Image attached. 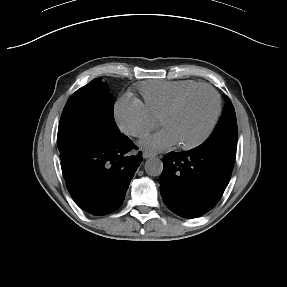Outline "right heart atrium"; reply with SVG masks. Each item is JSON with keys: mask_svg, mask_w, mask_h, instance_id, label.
<instances>
[{"mask_svg": "<svg viewBox=\"0 0 287 287\" xmlns=\"http://www.w3.org/2000/svg\"><path fill=\"white\" fill-rule=\"evenodd\" d=\"M114 114L120 128L133 137L146 136L158 124L146 105L131 95H124L118 99Z\"/></svg>", "mask_w": 287, "mask_h": 287, "instance_id": "obj_1", "label": "right heart atrium"}]
</instances>
